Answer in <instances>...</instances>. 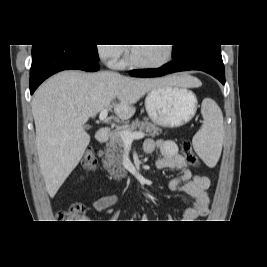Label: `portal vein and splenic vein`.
Masks as SVG:
<instances>
[{
    "label": "portal vein and splenic vein",
    "mask_w": 267,
    "mask_h": 267,
    "mask_svg": "<svg viewBox=\"0 0 267 267\" xmlns=\"http://www.w3.org/2000/svg\"><path fill=\"white\" fill-rule=\"evenodd\" d=\"M108 109H104L100 112V115H99V119L101 121H104L106 123H109L110 120L108 119ZM114 124H112L113 126ZM120 133V136L122 138V140L125 142V143H131L133 140L135 139H142L144 138L145 134L143 132H129V131H126V130H121L119 131Z\"/></svg>",
    "instance_id": "portal-vein-and-splenic-vein-1"
}]
</instances>
